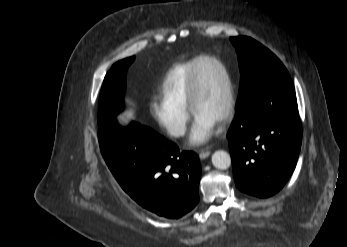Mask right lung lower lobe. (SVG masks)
<instances>
[{"label": "right lung lower lobe", "instance_id": "right-lung-lower-lobe-1", "mask_svg": "<svg viewBox=\"0 0 347 247\" xmlns=\"http://www.w3.org/2000/svg\"><path fill=\"white\" fill-rule=\"evenodd\" d=\"M102 155L114 177L142 207L170 219L190 212L199 202L198 157L152 129L117 121L99 127Z\"/></svg>", "mask_w": 347, "mask_h": 247}]
</instances>
